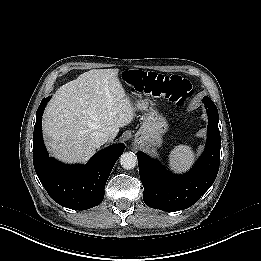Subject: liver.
<instances>
[{
    "mask_svg": "<svg viewBox=\"0 0 261 261\" xmlns=\"http://www.w3.org/2000/svg\"><path fill=\"white\" fill-rule=\"evenodd\" d=\"M119 69H94L62 85L43 116L45 143L56 158L85 162L96 151L94 132L112 141L131 123L134 108L118 80Z\"/></svg>",
    "mask_w": 261,
    "mask_h": 261,
    "instance_id": "obj_1",
    "label": "liver"
}]
</instances>
